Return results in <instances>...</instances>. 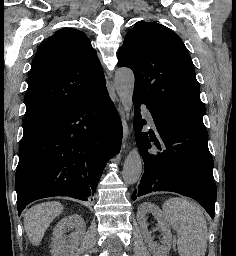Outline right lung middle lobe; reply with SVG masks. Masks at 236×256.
Returning <instances> with one entry per match:
<instances>
[{"label":"right lung middle lobe","instance_id":"obj_1","mask_svg":"<svg viewBox=\"0 0 236 256\" xmlns=\"http://www.w3.org/2000/svg\"><path fill=\"white\" fill-rule=\"evenodd\" d=\"M45 123H47L46 121H28V122H24V133L28 134L34 130H36L37 128L41 127L42 125H44Z\"/></svg>","mask_w":236,"mask_h":256}]
</instances>
